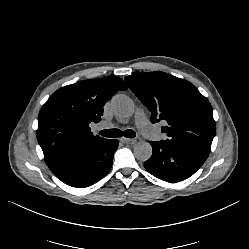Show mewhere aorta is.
<instances>
[{"label":"aorta","mask_w":249,"mask_h":249,"mask_svg":"<svg viewBox=\"0 0 249 249\" xmlns=\"http://www.w3.org/2000/svg\"><path fill=\"white\" fill-rule=\"evenodd\" d=\"M111 106L120 118L132 116L135 110L133 101L123 94L115 95L111 100ZM134 155L139 161H147L152 155V146L146 141H140L134 146Z\"/></svg>","instance_id":"aorta-1"}]
</instances>
